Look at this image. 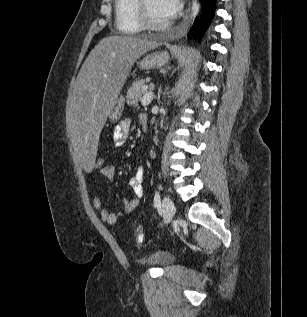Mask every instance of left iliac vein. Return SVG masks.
<instances>
[{
	"label": "left iliac vein",
	"mask_w": 307,
	"mask_h": 317,
	"mask_svg": "<svg viewBox=\"0 0 307 317\" xmlns=\"http://www.w3.org/2000/svg\"><path fill=\"white\" fill-rule=\"evenodd\" d=\"M162 208H163L164 222L169 223L176 212L175 205L169 197L165 196L163 198Z\"/></svg>",
	"instance_id": "left-iliac-vein-1"
}]
</instances>
